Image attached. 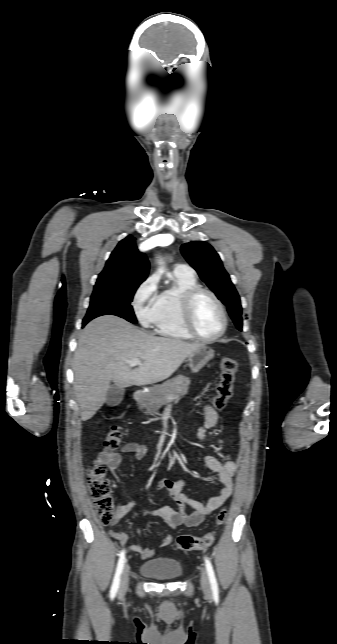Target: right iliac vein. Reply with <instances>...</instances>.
Masks as SVG:
<instances>
[{
  "mask_svg": "<svg viewBox=\"0 0 337 644\" xmlns=\"http://www.w3.org/2000/svg\"><path fill=\"white\" fill-rule=\"evenodd\" d=\"M129 584V567L126 566L122 572L120 587H119V596H124Z\"/></svg>",
  "mask_w": 337,
  "mask_h": 644,
  "instance_id": "obj_1",
  "label": "right iliac vein"
}]
</instances>
